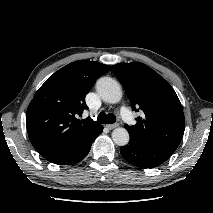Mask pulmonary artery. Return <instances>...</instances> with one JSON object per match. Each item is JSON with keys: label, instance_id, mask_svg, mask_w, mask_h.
I'll list each match as a JSON object with an SVG mask.
<instances>
[{"label": "pulmonary artery", "instance_id": "obj_1", "mask_svg": "<svg viewBox=\"0 0 213 213\" xmlns=\"http://www.w3.org/2000/svg\"><path fill=\"white\" fill-rule=\"evenodd\" d=\"M121 116L123 120L126 121L127 123H131L133 121L132 114L126 107H123L121 109Z\"/></svg>", "mask_w": 213, "mask_h": 213}]
</instances>
